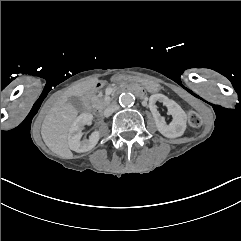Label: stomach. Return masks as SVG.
I'll use <instances>...</instances> for the list:
<instances>
[{
    "instance_id": "stomach-1",
    "label": "stomach",
    "mask_w": 241,
    "mask_h": 241,
    "mask_svg": "<svg viewBox=\"0 0 241 241\" xmlns=\"http://www.w3.org/2000/svg\"><path fill=\"white\" fill-rule=\"evenodd\" d=\"M115 80L121 81V82L139 83L144 88H146L149 92H157L160 90V85L157 82L151 81L148 79L132 77V76L117 75L115 77Z\"/></svg>"
}]
</instances>
